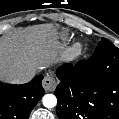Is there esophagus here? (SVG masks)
<instances>
[{"instance_id":"34e87169","label":"esophagus","mask_w":119,"mask_h":119,"mask_svg":"<svg viewBox=\"0 0 119 119\" xmlns=\"http://www.w3.org/2000/svg\"><path fill=\"white\" fill-rule=\"evenodd\" d=\"M42 85H43V88L45 89V91H47V92H52L55 90V88L57 86V81L54 78L52 73H47L44 76Z\"/></svg>"}]
</instances>
